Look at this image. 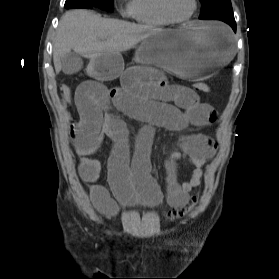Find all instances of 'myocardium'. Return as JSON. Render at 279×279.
<instances>
[{
    "label": "myocardium",
    "instance_id": "myocardium-1",
    "mask_svg": "<svg viewBox=\"0 0 279 279\" xmlns=\"http://www.w3.org/2000/svg\"><path fill=\"white\" fill-rule=\"evenodd\" d=\"M158 6H159V10H160L161 14L167 20H169L171 23L180 24V23H185V22L191 20L194 17V15L196 14V12L198 10L199 3H198V0H193V9H192V11L186 17H182V18L174 17L168 11V9L166 7V0H158Z\"/></svg>",
    "mask_w": 279,
    "mask_h": 279
}]
</instances>
